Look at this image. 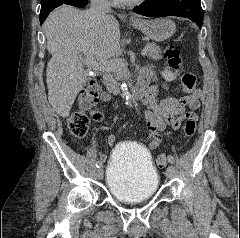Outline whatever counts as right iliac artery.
Returning a JSON list of instances; mask_svg holds the SVG:
<instances>
[{
	"instance_id": "obj_1",
	"label": "right iliac artery",
	"mask_w": 240,
	"mask_h": 238,
	"mask_svg": "<svg viewBox=\"0 0 240 238\" xmlns=\"http://www.w3.org/2000/svg\"><path fill=\"white\" fill-rule=\"evenodd\" d=\"M101 166H102V162L98 161V162L96 163V167H97V168H100Z\"/></svg>"
}]
</instances>
